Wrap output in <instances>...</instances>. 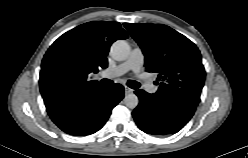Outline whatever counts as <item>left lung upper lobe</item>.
<instances>
[{
  "label": "left lung upper lobe",
  "instance_id": "5c2ea615",
  "mask_svg": "<svg viewBox=\"0 0 248 158\" xmlns=\"http://www.w3.org/2000/svg\"><path fill=\"white\" fill-rule=\"evenodd\" d=\"M145 55V67L161 81L154 94L167 103L196 108L205 82V69L196 45L162 24L124 23Z\"/></svg>",
  "mask_w": 248,
  "mask_h": 158
}]
</instances>
